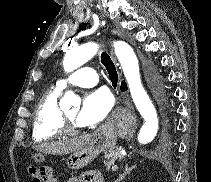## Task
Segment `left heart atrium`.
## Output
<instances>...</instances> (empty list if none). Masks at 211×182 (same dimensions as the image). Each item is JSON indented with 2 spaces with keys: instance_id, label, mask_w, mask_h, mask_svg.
I'll return each instance as SVG.
<instances>
[{
  "instance_id": "left-heart-atrium-1",
  "label": "left heart atrium",
  "mask_w": 211,
  "mask_h": 182,
  "mask_svg": "<svg viewBox=\"0 0 211 182\" xmlns=\"http://www.w3.org/2000/svg\"><path fill=\"white\" fill-rule=\"evenodd\" d=\"M112 107V97L105 89L88 92L76 117L80 126H93L102 121Z\"/></svg>"
}]
</instances>
